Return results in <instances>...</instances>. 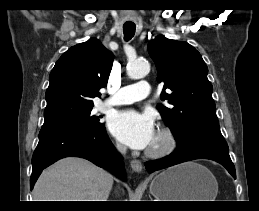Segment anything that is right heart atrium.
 <instances>
[{
    "mask_svg": "<svg viewBox=\"0 0 259 211\" xmlns=\"http://www.w3.org/2000/svg\"><path fill=\"white\" fill-rule=\"evenodd\" d=\"M116 148L119 150V151H122L124 148L123 146L120 144V143H116Z\"/></svg>",
    "mask_w": 259,
    "mask_h": 211,
    "instance_id": "obj_1",
    "label": "right heart atrium"
}]
</instances>
